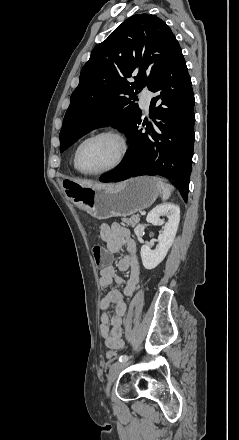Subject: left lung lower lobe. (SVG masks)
Returning <instances> with one entry per match:
<instances>
[{
  "label": "left lung lower lobe",
  "mask_w": 239,
  "mask_h": 440,
  "mask_svg": "<svg viewBox=\"0 0 239 440\" xmlns=\"http://www.w3.org/2000/svg\"><path fill=\"white\" fill-rule=\"evenodd\" d=\"M149 90L157 93L150 104L153 122H143L147 126L146 132L138 130L140 116L125 133L129 149L122 165L101 177L100 181L118 182L141 175H161L176 181L183 199L187 201L194 144L195 100L178 43Z\"/></svg>",
  "instance_id": "left-lung-lower-lobe-1"
}]
</instances>
